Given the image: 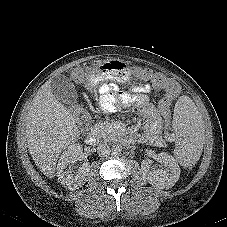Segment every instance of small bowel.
I'll list each match as a JSON object with an SVG mask.
<instances>
[{
  "label": "small bowel",
  "mask_w": 227,
  "mask_h": 227,
  "mask_svg": "<svg viewBox=\"0 0 227 227\" xmlns=\"http://www.w3.org/2000/svg\"><path fill=\"white\" fill-rule=\"evenodd\" d=\"M132 91L136 94H142L148 92L149 88L143 85H135L132 88ZM98 93L100 94V109L104 114L112 113L121 101L133 104H140L143 102V100L138 96H126L124 98H119L116 95L115 87L111 84L100 85L98 88ZM160 130V119L157 117H151L146 127V135L149 138H155L159 134Z\"/></svg>",
  "instance_id": "small-bowel-1"
}]
</instances>
